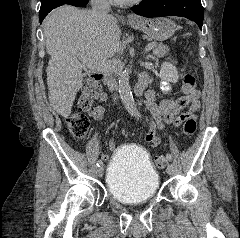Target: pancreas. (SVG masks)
Segmentation results:
<instances>
[{"instance_id": "cf45deb5", "label": "pancreas", "mask_w": 240, "mask_h": 238, "mask_svg": "<svg viewBox=\"0 0 240 238\" xmlns=\"http://www.w3.org/2000/svg\"><path fill=\"white\" fill-rule=\"evenodd\" d=\"M170 49L167 45H164L163 43H155L154 42V47H153V56L154 57H163L165 55H168ZM118 63L115 65L114 68L109 69V70H114L113 73H117L121 67H122V63L119 60H116Z\"/></svg>"}]
</instances>
